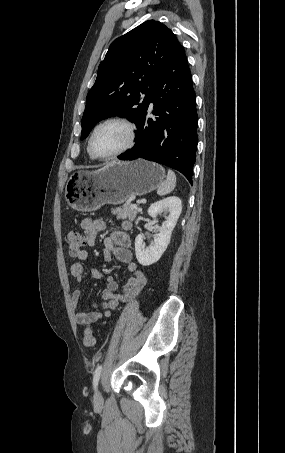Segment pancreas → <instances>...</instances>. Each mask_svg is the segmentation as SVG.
Masks as SVG:
<instances>
[{
    "mask_svg": "<svg viewBox=\"0 0 285 453\" xmlns=\"http://www.w3.org/2000/svg\"><path fill=\"white\" fill-rule=\"evenodd\" d=\"M111 212L114 215H117V217L120 219H123V220L128 219L130 221H133L136 218L139 210L137 208H135V209L132 208L131 204H124L123 206L118 207L116 209L112 208Z\"/></svg>",
    "mask_w": 285,
    "mask_h": 453,
    "instance_id": "cf45deb5",
    "label": "pancreas"
}]
</instances>
